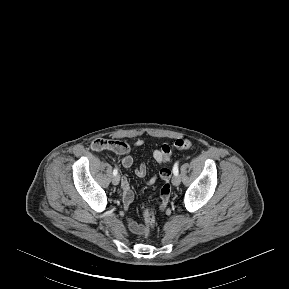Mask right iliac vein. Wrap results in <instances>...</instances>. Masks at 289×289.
I'll return each instance as SVG.
<instances>
[{
  "instance_id": "63e3f726",
  "label": "right iliac vein",
  "mask_w": 289,
  "mask_h": 289,
  "mask_svg": "<svg viewBox=\"0 0 289 289\" xmlns=\"http://www.w3.org/2000/svg\"><path fill=\"white\" fill-rule=\"evenodd\" d=\"M119 182H120V177H119V175L113 176V178H112V183H113L114 185H118Z\"/></svg>"
}]
</instances>
